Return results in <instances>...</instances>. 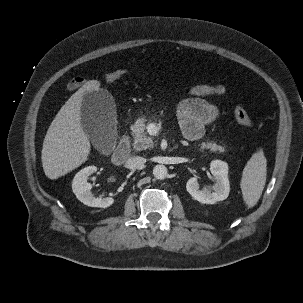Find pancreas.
Instances as JSON below:
<instances>
[{"mask_svg":"<svg viewBox=\"0 0 303 303\" xmlns=\"http://www.w3.org/2000/svg\"><path fill=\"white\" fill-rule=\"evenodd\" d=\"M146 122H149V119L146 116H143L135 122L132 127V135L134 138L133 148L136 151L143 149H149L154 146V141L150 136H147L146 132ZM200 149H208L210 152L224 153L225 147L216 144L213 141L202 142L198 144Z\"/></svg>","mask_w":303,"mask_h":303,"instance_id":"1","label":"pancreas"}]
</instances>
